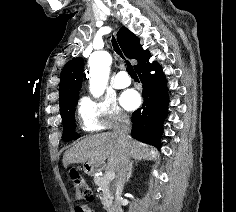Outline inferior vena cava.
I'll use <instances>...</instances> for the list:
<instances>
[{"label":"inferior vena cava","mask_w":236,"mask_h":212,"mask_svg":"<svg viewBox=\"0 0 236 212\" xmlns=\"http://www.w3.org/2000/svg\"><path fill=\"white\" fill-rule=\"evenodd\" d=\"M131 130L129 117L126 115H119L118 123L115 126L114 134L117 136L119 143L122 146V152L120 157V163L117 169V175L115 179V201L117 203L121 200L124 184L127 180L129 168H130V154L127 148L128 137Z\"/></svg>","instance_id":"602c4592"}]
</instances>
